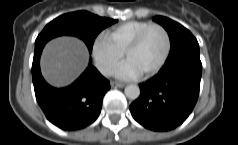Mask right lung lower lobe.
I'll list each match as a JSON object with an SVG mask.
<instances>
[{
	"instance_id": "98d812e1",
	"label": "right lung lower lobe",
	"mask_w": 238,
	"mask_h": 145,
	"mask_svg": "<svg viewBox=\"0 0 238 145\" xmlns=\"http://www.w3.org/2000/svg\"><path fill=\"white\" fill-rule=\"evenodd\" d=\"M45 44L35 47L32 80L38 104L46 118L60 129L74 131L93 123L100 114L102 100L110 83L89 65L70 86L53 88L43 79L40 55Z\"/></svg>"
}]
</instances>
